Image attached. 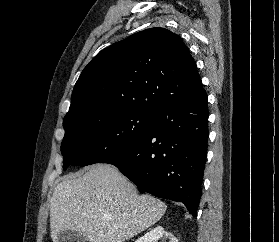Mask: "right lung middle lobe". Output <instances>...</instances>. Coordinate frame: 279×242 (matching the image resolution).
<instances>
[{
	"label": "right lung middle lobe",
	"instance_id": "obj_1",
	"mask_svg": "<svg viewBox=\"0 0 279 242\" xmlns=\"http://www.w3.org/2000/svg\"><path fill=\"white\" fill-rule=\"evenodd\" d=\"M153 117V112L127 109L95 118L70 119L63 123V168L100 163L134 145L149 134Z\"/></svg>",
	"mask_w": 279,
	"mask_h": 242
}]
</instances>
